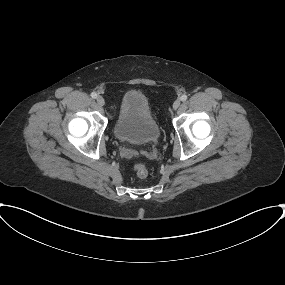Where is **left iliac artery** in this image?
<instances>
[{"label":"left iliac artery","mask_w":285,"mask_h":285,"mask_svg":"<svg viewBox=\"0 0 285 285\" xmlns=\"http://www.w3.org/2000/svg\"><path fill=\"white\" fill-rule=\"evenodd\" d=\"M180 99H181V101H186L187 100V95L183 94Z\"/></svg>","instance_id":"obj_1"}]
</instances>
